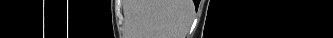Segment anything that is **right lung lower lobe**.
<instances>
[{
  "label": "right lung lower lobe",
  "instance_id": "obj_1",
  "mask_svg": "<svg viewBox=\"0 0 333 38\" xmlns=\"http://www.w3.org/2000/svg\"><path fill=\"white\" fill-rule=\"evenodd\" d=\"M195 6H196V1L194 0Z\"/></svg>",
  "mask_w": 333,
  "mask_h": 38
}]
</instances>
